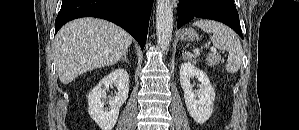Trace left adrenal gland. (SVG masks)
<instances>
[{
	"label": "left adrenal gland",
	"instance_id": "1",
	"mask_svg": "<svg viewBox=\"0 0 299 130\" xmlns=\"http://www.w3.org/2000/svg\"><path fill=\"white\" fill-rule=\"evenodd\" d=\"M182 57L184 60H187V54L185 52L182 53Z\"/></svg>",
	"mask_w": 299,
	"mask_h": 130
}]
</instances>
